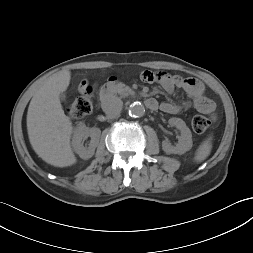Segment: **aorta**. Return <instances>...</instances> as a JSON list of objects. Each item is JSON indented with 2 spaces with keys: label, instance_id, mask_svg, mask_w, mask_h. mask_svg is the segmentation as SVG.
Here are the masks:
<instances>
[{
  "label": "aorta",
  "instance_id": "762f6f07",
  "mask_svg": "<svg viewBox=\"0 0 253 253\" xmlns=\"http://www.w3.org/2000/svg\"><path fill=\"white\" fill-rule=\"evenodd\" d=\"M128 112L132 117H142L145 113V108L140 102H134L129 106Z\"/></svg>",
  "mask_w": 253,
  "mask_h": 253
}]
</instances>
